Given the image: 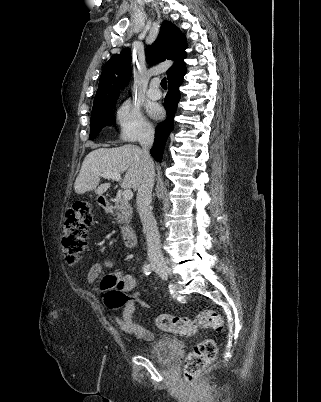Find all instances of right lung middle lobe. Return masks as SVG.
<instances>
[{"instance_id": "1", "label": "right lung middle lobe", "mask_w": 321, "mask_h": 402, "mask_svg": "<svg viewBox=\"0 0 321 402\" xmlns=\"http://www.w3.org/2000/svg\"><path fill=\"white\" fill-rule=\"evenodd\" d=\"M115 105L116 101H113L105 106L94 107L92 109L90 140L94 139L103 127L114 124L113 108Z\"/></svg>"}]
</instances>
